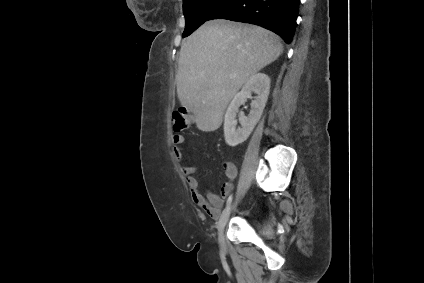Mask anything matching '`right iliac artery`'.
Here are the masks:
<instances>
[{"label": "right iliac artery", "mask_w": 424, "mask_h": 283, "mask_svg": "<svg viewBox=\"0 0 424 283\" xmlns=\"http://www.w3.org/2000/svg\"><path fill=\"white\" fill-rule=\"evenodd\" d=\"M232 198H233V196L232 195H230L229 196V198L227 199V206H229L230 205V203H231V201H232Z\"/></svg>", "instance_id": "right-iliac-artery-1"}]
</instances>
